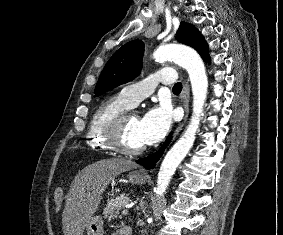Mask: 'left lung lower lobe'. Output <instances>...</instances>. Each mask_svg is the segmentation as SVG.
Wrapping results in <instances>:
<instances>
[{
    "instance_id": "0a47b994",
    "label": "left lung lower lobe",
    "mask_w": 283,
    "mask_h": 235,
    "mask_svg": "<svg viewBox=\"0 0 283 235\" xmlns=\"http://www.w3.org/2000/svg\"><path fill=\"white\" fill-rule=\"evenodd\" d=\"M171 140V135H169V137L167 138V140L165 141V143L163 144V146L160 148L159 151L155 152L154 154L145 157V158H141L139 160H137L136 162L140 165H142L143 167H145L146 169H151L152 167L155 166V163L159 160V158L161 157L164 149L167 147V145L169 144Z\"/></svg>"
}]
</instances>
